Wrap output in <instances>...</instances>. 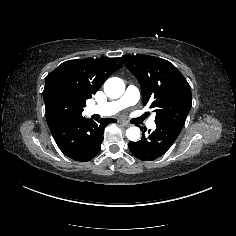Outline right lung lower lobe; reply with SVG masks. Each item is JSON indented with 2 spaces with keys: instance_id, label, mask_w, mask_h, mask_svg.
Here are the masks:
<instances>
[{
  "instance_id": "right-lung-lower-lobe-1",
  "label": "right lung lower lobe",
  "mask_w": 236,
  "mask_h": 236,
  "mask_svg": "<svg viewBox=\"0 0 236 236\" xmlns=\"http://www.w3.org/2000/svg\"><path fill=\"white\" fill-rule=\"evenodd\" d=\"M116 119H101L97 123L81 115L49 126L59 149L69 158L86 162L101 148L104 127Z\"/></svg>"
}]
</instances>
